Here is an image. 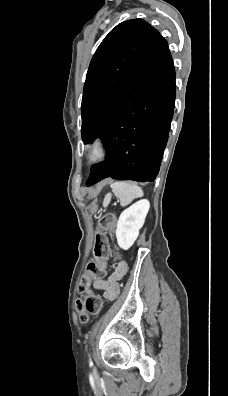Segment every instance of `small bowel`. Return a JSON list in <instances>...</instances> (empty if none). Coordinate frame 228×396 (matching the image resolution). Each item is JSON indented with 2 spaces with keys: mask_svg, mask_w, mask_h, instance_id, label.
Here are the masks:
<instances>
[{
  "mask_svg": "<svg viewBox=\"0 0 228 396\" xmlns=\"http://www.w3.org/2000/svg\"><path fill=\"white\" fill-rule=\"evenodd\" d=\"M127 272V264L121 262L115 268V271L107 278H98L93 282L95 289L103 291V297L107 300H114L120 293V280Z\"/></svg>",
  "mask_w": 228,
  "mask_h": 396,
  "instance_id": "1",
  "label": "small bowel"
}]
</instances>
